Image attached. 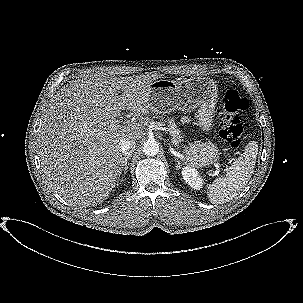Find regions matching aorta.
<instances>
[{"label":"aorta","mask_w":303,"mask_h":303,"mask_svg":"<svg viewBox=\"0 0 303 303\" xmlns=\"http://www.w3.org/2000/svg\"><path fill=\"white\" fill-rule=\"evenodd\" d=\"M159 152V144L157 141L151 139L147 140L143 145V153L147 156H155Z\"/></svg>","instance_id":"aorta-1"}]
</instances>
